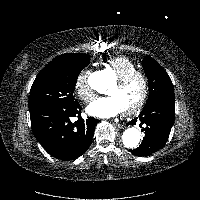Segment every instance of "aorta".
<instances>
[{"label":"aorta","instance_id":"762f6f07","mask_svg":"<svg viewBox=\"0 0 200 200\" xmlns=\"http://www.w3.org/2000/svg\"><path fill=\"white\" fill-rule=\"evenodd\" d=\"M102 78V73H96L92 75L90 79L91 87L98 92H103L101 86L98 84ZM140 138V131L135 127H130L123 132L122 142L125 147L133 149L138 146Z\"/></svg>","mask_w":200,"mask_h":200}]
</instances>
